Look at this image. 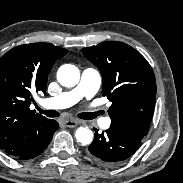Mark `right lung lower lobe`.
<instances>
[{
    "label": "right lung lower lobe",
    "mask_w": 183,
    "mask_h": 183,
    "mask_svg": "<svg viewBox=\"0 0 183 183\" xmlns=\"http://www.w3.org/2000/svg\"><path fill=\"white\" fill-rule=\"evenodd\" d=\"M58 127L59 124L55 120L48 119L42 126L31 133L26 152L14 157L26 160L41 154L47 148Z\"/></svg>",
    "instance_id": "98d812e1"
}]
</instances>
